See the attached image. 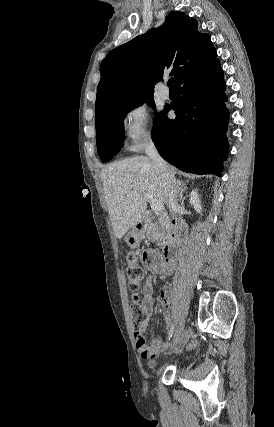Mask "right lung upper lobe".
I'll use <instances>...</instances> for the list:
<instances>
[{
  "instance_id": "1",
  "label": "right lung upper lobe",
  "mask_w": 274,
  "mask_h": 427,
  "mask_svg": "<svg viewBox=\"0 0 274 427\" xmlns=\"http://www.w3.org/2000/svg\"><path fill=\"white\" fill-rule=\"evenodd\" d=\"M216 56L197 21L171 11L162 26L113 49L102 61L95 114L124 99L152 95L168 70L176 86L190 73L218 63Z\"/></svg>"
}]
</instances>
